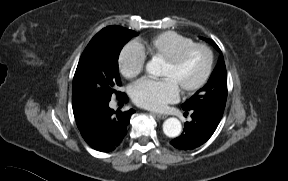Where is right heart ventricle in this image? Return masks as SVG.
Here are the masks:
<instances>
[{
  "label": "right heart ventricle",
  "mask_w": 288,
  "mask_h": 181,
  "mask_svg": "<svg viewBox=\"0 0 288 181\" xmlns=\"http://www.w3.org/2000/svg\"><path fill=\"white\" fill-rule=\"evenodd\" d=\"M194 41L175 31H165L150 37L147 40L139 41L137 46L142 50L145 56L152 59L164 60L183 47H186Z\"/></svg>",
  "instance_id": "right-heart-ventricle-1"
}]
</instances>
